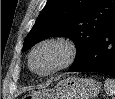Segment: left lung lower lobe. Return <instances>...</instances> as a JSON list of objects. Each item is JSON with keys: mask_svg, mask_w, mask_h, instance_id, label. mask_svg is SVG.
Returning a JSON list of instances; mask_svg holds the SVG:
<instances>
[{"mask_svg": "<svg viewBox=\"0 0 115 99\" xmlns=\"http://www.w3.org/2000/svg\"><path fill=\"white\" fill-rule=\"evenodd\" d=\"M70 72H98L115 78V21Z\"/></svg>", "mask_w": 115, "mask_h": 99, "instance_id": "left-lung-lower-lobe-1", "label": "left lung lower lobe"}]
</instances>
